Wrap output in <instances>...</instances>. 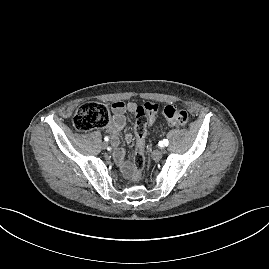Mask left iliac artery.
Segmentation results:
<instances>
[{"instance_id":"1","label":"left iliac artery","mask_w":269,"mask_h":269,"mask_svg":"<svg viewBox=\"0 0 269 269\" xmlns=\"http://www.w3.org/2000/svg\"><path fill=\"white\" fill-rule=\"evenodd\" d=\"M161 145L164 147V146H168L169 144V141L167 139H164L163 141L160 142Z\"/></svg>"}]
</instances>
